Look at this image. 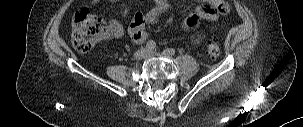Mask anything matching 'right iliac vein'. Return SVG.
<instances>
[{"mask_svg":"<svg viewBox=\"0 0 303 127\" xmlns=\"http://www.w3.org/2000/svg\"><path fill=\"white\" fill-rule=\"evenodd\" d=\"M147 54H148V50L145 48H142L136 52L135 56L138 59H144L147 57Z\"/></svg>","mask_w":303,"mask_h":127,"instance_id":"right-iliac-vein-1","label":"right iliac vein"}]
</instances>
